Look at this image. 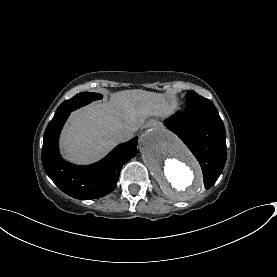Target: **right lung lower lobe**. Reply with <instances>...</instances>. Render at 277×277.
Segmentation results:
<instances>
[{"instance_id":"98d812e1","label":"right lung lower lobe","mask_w":277,"mask_h":277,"mask_svg":"<svg viewBox=\"0 0 277 277\" xmlns=\"http://www.w3.org/2000/svg\"><path fill=\"white\" fill-rule=\"evenodd\" d=\"M70 112L53 118L48 124L42 146V163L50 179L67 195L76 199H96L112 192L123 164L136 153L137 138L118 145L101 161L88 166H75L59 155L60 131Z\"/></svg>"}]
</instances>
